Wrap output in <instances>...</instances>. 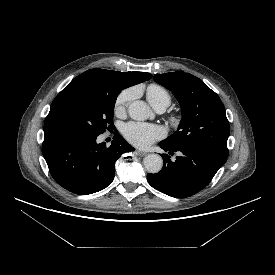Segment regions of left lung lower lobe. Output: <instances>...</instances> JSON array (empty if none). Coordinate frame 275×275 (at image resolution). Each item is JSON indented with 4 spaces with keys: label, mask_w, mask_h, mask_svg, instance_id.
I'll list each match as a JSON object with an SVG mask.
<instances>
[{
    "label": "left lung lower lobe",
    "mask_w": 275,
    "mask_h": 275,
    "mask_svg": "<svg viewBox=\"0 0 275 275\" xmlns=\"http://www.w3.org/2000/svg\"><path fill=\"white\" fill-rule=\"evenodd\" d=\"M159 146L169 155L179 152L180 156L171 161L169 155L161 154L163 168L156 174H147V180L153 188L171 197L186 198L198 193L227 160V157L198 148L175 147L163 141Z\"/></svg>",
    "instance_id": "1"
}]
</instances>
